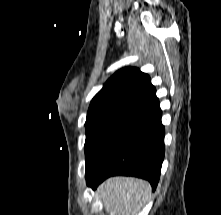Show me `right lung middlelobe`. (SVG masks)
I'll return each mask as SVG.
<instances>
[{
  "instance_id": "dd1d6c3e",
  "label": "right lung middle lobe",
  "mask_w": 221,
  "mask_h": 215,
  "mask_svg": "<svg viewBox=\"0 0 221 215\" xmlns=\"http://www.w3.org/2000/svg\"><path fill=\"white\" fill-rule=\"evenodd\" d=\"M135 111V108L121 104L90 105L85 123L86 170L95 161L109 138Z\"/></svg>"
}]
</instances>
